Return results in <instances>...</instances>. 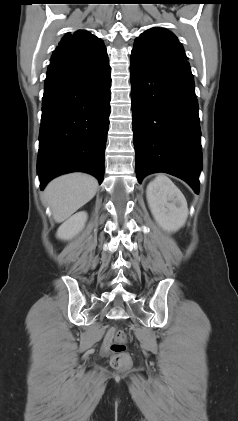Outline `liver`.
Wrapping results in <instances>:
<instances>
[{"instance_id":"obj_1","label":"liver","mask_w":238,"mask_h":421,"mask_svg":"<svg viewBox=\"0 0 238 421\" xmlns=\"http://www.w3.org/2000/svg\"><path fill=\"white\" fill-rule=\"evenodd\" d=\"M98 181L88 174L72 173L52 180L44 190L56 222H63L96 194Z\"/></svg>"}]
</instances>
